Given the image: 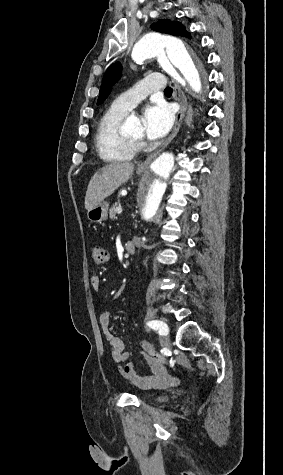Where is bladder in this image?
<instances>
[{
	"mask_svg": "<svg viewBox=\"0 0 283 475\" xmlns=\"http://www.w3.org/2000/svg\"><path fill=\"white\" fill-rule=\"evenodd\" d=\"M170 397L171 396L169 394L157 393L154 395L146 396V400L153 404H163L169 401Z\"/></svg>",
	"mask_w": 283,
	"mask_h": 475,
	"instance_id": "1",
	"label": "bladder"
}]
</instances>
